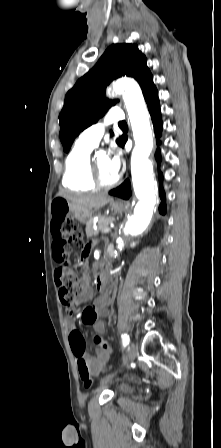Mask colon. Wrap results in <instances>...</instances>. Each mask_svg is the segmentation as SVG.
Returning <instances> with one entry per match:
<instances>
[{"mask_svg": "<svg viewBox=\"0 0 221 448\" xmlns=\"http://www.w3.org/2000/svg\"><path fill=\"white\" fill-rule=\"evenodd\" d=\"M53 221L59 224L56 230L60 241L56 244L55 259L59 263L55 279L59 287V294L62 303L71 306L78 294L82 291L80 280L74 274L72 267L68 263L69 257L76 252L83 251L84 243L82 233L79 229L76 219L69 213L68 207L64 202H58L53 209ZM83 322L87 326H93L97 320V313L92 306L84 309ZM94 344L103 345L102 339L96 335L93 337ZM70 343L78 357V371L80 379L85 387L89 388L93 384L92 372L87 362L83 359L84 342L78 330L70 335Z\"/></svg>", "mask_w": 221, "mask_h": 448, "instance_id": "colon-1", "label": "colon"}]
</instances>
